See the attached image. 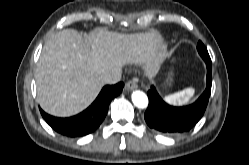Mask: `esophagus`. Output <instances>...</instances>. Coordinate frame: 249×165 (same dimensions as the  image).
Instances as JSON below:
<instances>
[{"label": "esophagus", "instance_id": "esophagus-1", "mask_svg": "<svg viewBox=\"0 0 249 165\" xmlns=\"http://www.w3.org/2000/svg\"><path fill=\"white\" fill-rule=\"evenodd\" d=\"M135 88H137V84L135 83V81L130 80V81L126 82V84H125L126 91H131V90H134Z\"/></svg>", "mask_w": 249, "mask_h": 165}]
</instances>
